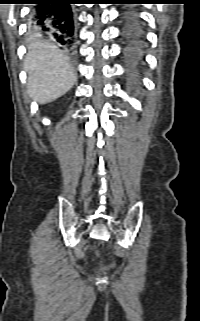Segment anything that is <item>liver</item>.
Returning a JSON list of instances; mask_svg holds the SVG:
<instances>
[{"label":"liver","mask_w":200,"mask_h":321,"mask_svg":"<svg viewBox=\"0 0 200 321\" xmlns=\"http://www.w3.org/2000/svg\"><path fill=\"white\" fill-rule=\"evenodd\" d=\"M24 68L28 73L29 96L46 104L68 92L77 80L69 58L49 42L32 40Z\"/></svg>","instance_id":"obj_1"}]
</instances>
